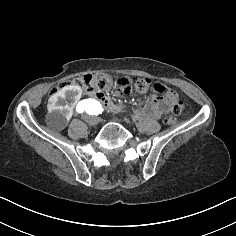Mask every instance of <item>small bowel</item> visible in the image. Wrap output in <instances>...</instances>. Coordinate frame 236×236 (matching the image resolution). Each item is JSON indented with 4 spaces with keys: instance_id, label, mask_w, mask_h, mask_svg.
<instances>
[{
    "instance_id": "obj_1",
    "label": "small bowel",
    "mask_w": 236,
    "mask_h": 236,
    "mask_svg": "<svg viewBox=\"0 0 236 236\" xmlns=\"http://www.w3.org/2000/svg\"><path fill=\"white\" fill-rule=\"evenodd\" d=\"M169 105L168 103L161 98H154L148 102L144 107L138 109V114L151 117L159 118L162 114L168 112Z\"/></svg>"
}]
</instances>
